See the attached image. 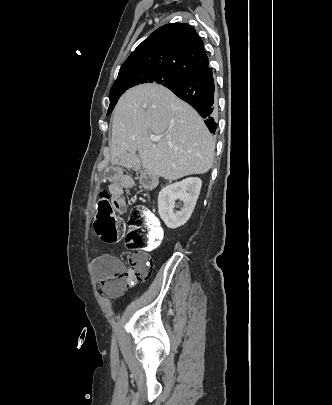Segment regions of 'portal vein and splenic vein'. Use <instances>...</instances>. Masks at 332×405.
I'll return each mask as SVG.
<instances>
[{
  "instance_id": "18ae733b",
  "label": "portal vein and splenic vein",
  "mask_w": 332,
  "mask_h": 405,
  "mask_svg": "<svg viewBox=\"0 0 332 405\" xmlns=\"http://www.w3.org/2000/svg\"><path fill=\"white\" fill-rule=\"evenodd\" d=\"M150 139H151L153 142H157V141L159 140V137H158V136H155V135H150Z\"/></svg>"
}]
</instances>
